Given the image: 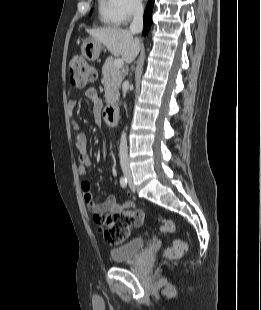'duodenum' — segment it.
Segmentation results:
<instances>
[{
	"instance_id": "410a0bca",
	"label": "duodenum",
	"mask_w": 261,
	"mask_h": 310,
	"mask_svg": "<svg viewBox=\"0 0 261 310\" xmlns=\"http://www.w3.org/2000/svg\"><path fill=\"white\" fill-rule=\"evenodd\" d=\"M104 117L106 122L113 126L115 125L116 121H117V117H118V107L115 104H112L110 106L107 107V109L104 112Z\"/></svg>"
}]
</instances>
